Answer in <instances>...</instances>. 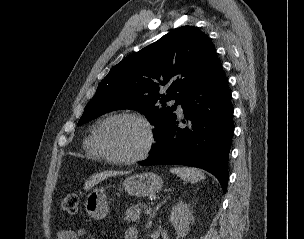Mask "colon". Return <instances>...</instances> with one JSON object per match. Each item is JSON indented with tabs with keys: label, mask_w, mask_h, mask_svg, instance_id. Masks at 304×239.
I'll use <instances>...</instances> for the list:
<instances>
[{
	"label": "colon",
	"mask_w": 304,
	"mask_h": 239,
	"mask_svg": "<svg viewBox=\"0 0 304 239\" xmlns=\"http://www.w3.org/2000/svg\"><path fill=\"white\" fill-rule=\"evenodd\" d=\"M60 209L70 215L76 214L79 210V198L76 194H67L59 200Z\"/></svg>",
	"instance_id": "obj_1"
}]
</instances>
